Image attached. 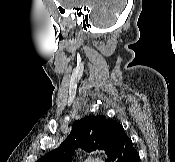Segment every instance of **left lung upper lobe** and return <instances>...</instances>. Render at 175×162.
<instances>
[{
    "label": "left lung upper lobe",
    "instance_id": "1",
    "mask_svg": "<svg viewBox=\"0 0 175 162\" xmlns=\"http://www.w3.org/2000/svg\"><path fill=\"white\" fill-rule=\"evenodd\" d=\"M124 134L123 126L113 119L103 115L86 117L74 122L71 133L60 147L41 157L37 162H69L78 148L87 152L96 149L106 150L110 159Z\"/></svg>",
    "mask_w": 175,
    "mask_h": 162
}]
</instances>
